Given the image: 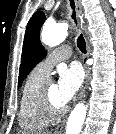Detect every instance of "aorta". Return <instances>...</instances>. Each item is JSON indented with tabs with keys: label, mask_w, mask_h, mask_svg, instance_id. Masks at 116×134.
Listing matches in <instances>:
<instances>
[{
	"label": "aorta",
	"mask_w": 116,
	"mask_h": 134,
	"mask_svg": "<svg viewBox=\"0 0 116 134\" xmlns=\"http://www.w3.org/2000/svg\"><path fill=\"white\" fill-rule=\"evenodd\" d=\"M68 35V26L65 23L46 24L41 33V41L50 47L62 43ZM87 107L78 103L71 112L66 125L65 134H79L86 118Z\"/></svg>",
	"instance_id": "aorta-1"
}]
</instances>
